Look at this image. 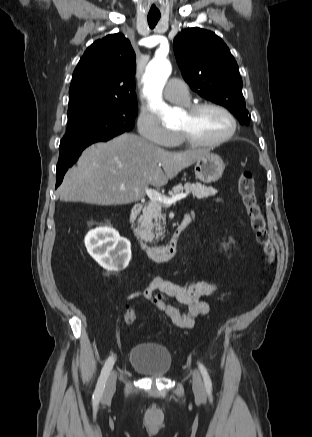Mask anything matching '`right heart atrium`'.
Instances as JSON below:
<instances>
[{"mask_svg": "<svg viewBox=\"0 0 312 437\" xmlns=\"http://www.w3.org/2000/svg\"><path fill=\"white\" fill-rule=\"evenodd\" d=\"M137 128L145 140L159 146H170L177 137L175 132L164 127L157 115L147 110L140 112Z\"/></svg>", "mask_w": 312, "mask_h": 437, "instance_id": "right-heart-atrium-1", "label": "right heart atrium"}]
</instances>
